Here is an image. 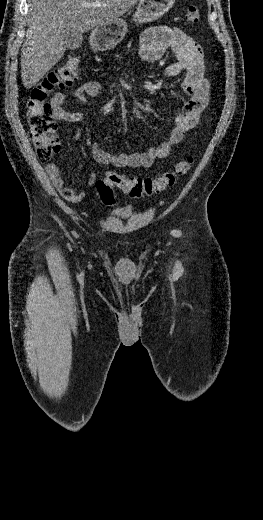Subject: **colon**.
Listing matches in <instances>:
<instances>
[{"label":"colon","mask_w":263,"mask_h":520,"mask_svg":"<svg viewBox=\"0 0 263 520\" xmlns=\"http://www.w3.org/2000/svg\"><path fill=\"white\" fill-rule=\"evenodd\" d=\"M184 18L188 24L198 23L200 21L199 9L196 6L188 7ZM78 75L79 63L77 58L72 57L50 72L31 92L27 102V123L37 156L42 162L49 161L61 147L56 133L57 126L53 108L51 104L46 102L47 96L55 88L71 86ZM193 165L194 158L187 157L177 162L172 169L155 177L126 176L109 172L105 178L96 181L95 187L102 203L106 206H113L115 204V189L132 198L159 194L172 187L178 178L191 170Z\"/></svg>","instance_id":"colon-1"}]
</instances>
